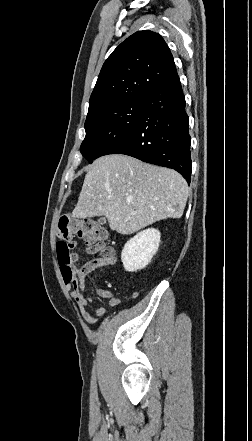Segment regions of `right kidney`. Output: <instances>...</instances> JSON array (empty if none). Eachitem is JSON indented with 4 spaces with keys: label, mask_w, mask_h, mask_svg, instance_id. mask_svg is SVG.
I'll return each instance as SVG.
<instances>
[{
    "label": "right kidney",
    "mask_w": 252,
    "mask_h": 441,
    "mask_svg": "<svg viewBox=\"0 0 252 441\" xmlns=\"http://www.w3.org/2000/svg\"><path fill=\"white\" fill-rule=\"evenodd\" d=\"M160 237L159 230L148 228L131 238L121 253L124 269L136 272L145 268L159 248Z\"/></svg>",
    "instance_id": "1"
}]
</instances>
